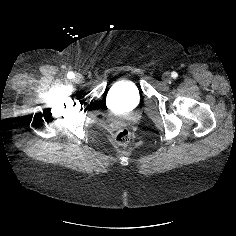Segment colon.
Segmentation results:
<instances>
[{"instance_id": "obj_1", "label": "colon", "mask_w": 236, "mask_h": 236, "mask_svg": "<svg viewBox=\"0 0 236 236\" xmlns=\"http://www.w3.org/2000/svg\"><path fill=\"white\" fill-rule=\"evenodd\" d=\"M131 139V134L128 128L123 127L119 129L113 136V142L120 146H126Z\"/></svg>"}]
</instances>
